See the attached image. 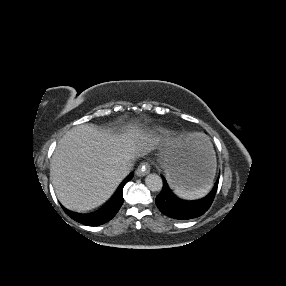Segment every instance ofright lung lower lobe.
<instances>
[{"label": "right lung lower lobe", "instance_id": "1", "mask_svg": "<svg viewBox=\"0 0 286 286\" xmlns=\"http://www.w3.org/2000/svg\"><path fill=\"white\" fill-rule=\"evenodd\" d=\"M133 177V173H131L120 185L118 190L116 191L115 195L112 197V199L101 209L98 211H95L90 214H79L75 212H71L67 209H65L63 206L62 208L64 211L75 221L87 225V226H98L101 224H104L111 220L118 210L120 209L121 205L123 204V187L124 185L130 181Z\"/></svg>", "mask_w": 286, "mask_h": 286}]
</instances>
